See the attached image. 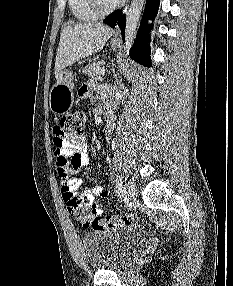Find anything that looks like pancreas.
Wrapping results in <instances>:
<instances>
[{
    "label": "pancreas",
    "mask_w": 233,
    "mask_h": 286,
    "mask_svg": "<svg viewBox=\"0 0 233 286\" xmlns=\"http://www.w3.org/2000/svg\"><path fill=\"white\" fill-rule=\"evenodd\" d=\"M103 65V62H93L91 64H88L84 69H83V73L85 75H88L89 77H91L92 79H97L98 77H100L102 75L101 71L103 70V68L101 67Z\"/></svg>",
    "instance_id": "cf45deb5"
}]
</instances>
